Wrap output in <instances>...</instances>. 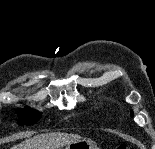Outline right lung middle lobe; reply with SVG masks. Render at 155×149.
I'll list each match as a JSON object with an SVG mask.
<instances>
[{
	"label": "right lung middle lobe",
	"instance_id": "obj_1",
	"mask_svg": "<svg viewBox=\"0 0 155 149\" xmlns=\"http://www.w3.org/2000/svg\"><path fill=\"white\" fill-rule=\"evenodd\" d=\"M20 124L21 125H33L35 124L40 118L41 113L36 110L32 109H21L20 110Z\"/></svg>",
	"mask_w": 155,
	"mask_h": 149
}]
</instances>
